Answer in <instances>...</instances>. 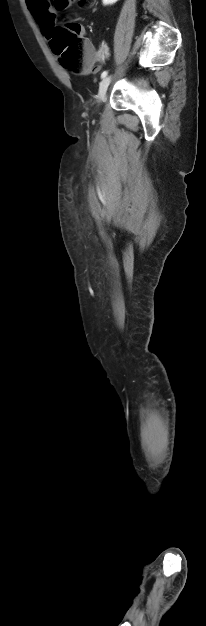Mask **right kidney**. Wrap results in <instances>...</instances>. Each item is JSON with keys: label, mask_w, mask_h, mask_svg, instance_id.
<instances>
[{"label": "right kidney", "mask_w": 206, "mask_h": 626, "mask_svg": "<svg viewBox=\"0 0 206 626\" xmlns=\"http://www.w3.org/2000/svg\"><path fill=\"white\" fill-rule=\"evenodd\" d=\"M117 1L118 0H102L104 6L112 5V4L116 3Z\"/></svg>", "instance_id": "ca27d5eb"}]
</instances>
